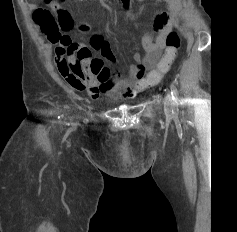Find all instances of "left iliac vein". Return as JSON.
<instances>
[{
	"label": "left iliac vein",
	"mask_w": 237,
	"mask_h": 232,
	"mask_svg": "<svg viewBox=\"0 0 237 232\" xmlns=\"http://www.w3.org/2000/svg\"><path fill=\"white\" fill-rule=\"evenodd\" d=\"M164 105H165V109H166L167 111H170V110H171V107H172V97H171L170 94H168V95L165 97Z\"/></svg>",
	"instance_id": "left-iliac-vein-1"
}]
</instances>
